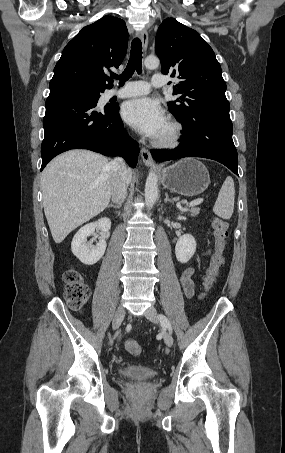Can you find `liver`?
I'll use <instances>...</instances> for the list:
<instances>
[{
	"label": "liver",
	"mask_w": 285,
	"mask_h": 453,
	"mask_svg": "<svg viewBox=\"0 0 285 453\" xmlns=\"http://www.w3.org/2000/svg\"><path fill=\"white\" fill-rule=\"evenodd\" d=\"M113 174L106 157L87 150L65 152L45 167L43 207L55 243L108 206ZM132 174L129 169V181Z\"/></svg>",
	"instance_id": "6515ba94"
}]
</instances>
